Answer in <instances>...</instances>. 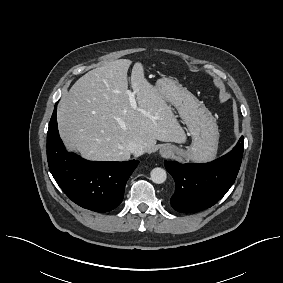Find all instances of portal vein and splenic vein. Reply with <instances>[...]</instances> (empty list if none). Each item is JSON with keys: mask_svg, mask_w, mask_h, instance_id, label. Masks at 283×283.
<instances>
[{"mask_svg": "<svg viewBox=\"0 0 283 283\" xmlns=\"http://www.w3.org/2000/svg\"><path fill=\"white\" fill-rule=\"evenodd\" d=\"M127 95L129 97V102H130L131 107L134 109H138L137 102L135 99V93L131 92L130 90H127Z\"/></svg>", "mask_w": 283, "mask_h": 283, "instance_id": "18ae733b", "label": "portal vein and splenic vein"}]
</instances>
